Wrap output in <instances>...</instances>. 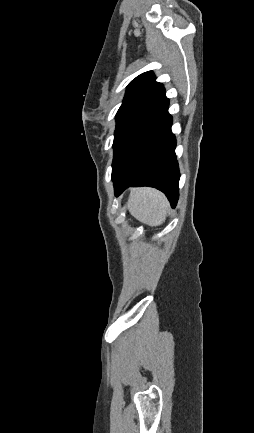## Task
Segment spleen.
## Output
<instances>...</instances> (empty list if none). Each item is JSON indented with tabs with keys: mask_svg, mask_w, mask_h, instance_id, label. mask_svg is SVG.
Wrapping results in <instances>:
<instances>
[{
	"mask_svg": "<svg viewBox=\"0 0 254 433\" xmlns=\"http://www.w3.org/2000/svg\"><path fill=\"white\" fill-rule=\"evenodd\" d=\"M168 206L166 197L152 188L136 189L127 203L130 214L149 226H159L165 221Z\"/></svg>",
	"mask_w": 254,
	"mask_h": 433,
	"instance_id": "3e777b00",
	"label": "spleen"
}]
</instances>
